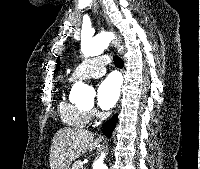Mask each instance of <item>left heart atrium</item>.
Segmentation results:
<instances>
[{"instance_id":"left-heart-atrium-1","label":"left heart atrium","mask_w":200,"mask_h":169,"mask_svg":"<svg viewBox=\"0 0 200 169\" xmlns=\"http://www.w3.org/2000/svg\"><path fill=\"white\" fill-rule=\"evenodd\" d=\"M121 82L112 75L104 79L97 88V103L102 110H109L115 106L120 96Z\"/></svg>"}]
</instances>
